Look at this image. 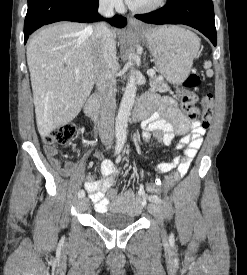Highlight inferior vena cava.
Returning a JSON list of instances; mask_svg holds the SVG:
<instances>
[{
  "instance_id": "1",
  "label": "inferior vena cava",
  "mask_w": 247,
  "mask_h": 275,
  "mask_svg": "<svg viewBox=\"0 0 247 275\" xmlns=\"http://www.w3.org/2000/svg\"><path fill=\"white\" fill-rule=\"evenodd\" d=\"M115 0H100L99 12L105 17H112ZM95 55L96 85L100 95L101 110L98 124L101 142L110 145L114 139V119L116 111L117 66L116 43L113 32L105 22L88 27Z\"/></svg>"
}]
</instances>
